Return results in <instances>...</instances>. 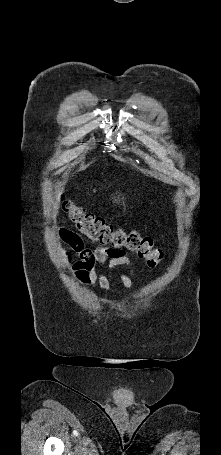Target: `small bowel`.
Masks as SVG:
<instances>
[{"mask_svg": "<svg viewBox=\"0 0 221 455\" xmlns=\"http://www.w3.org/2000/svg\"><path fill=\"white\" fill-rule=\"evenodd\" d=\"M57 234L70 248V250L61 249L60 257L73 276L85 287L98 286L101 291H108L109 279L104 272L99 271L100 268L105 267L117 274L125 288L130 289L133 286L132 277L135 276V272L125 251L105 247L88 248L78 235L64 227H59ZM74 254L79 257L78 260L74 259ZM121 266L129 269V275L119 271Z\"/></svg>", "mask_w": 221, "mask_h": 455, "instance_id": "small-bowel-1", "label": "small bowel"}]
</instances>
